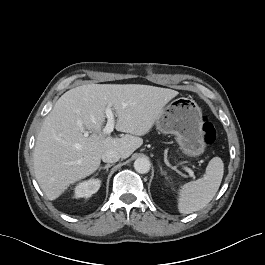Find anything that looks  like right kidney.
Wrapping results in <instances>:
<instances>
[{
    "mask_svg": "<svg viewBox=\"0 0 265 265\" xmlns=\"http://www.w3.org/2000/svg\"><path fill=\"white\" fill-rule=\"evenodd\" d=\"M100 185L101 181L99 179H89L87 181L79 183L75 187V198L90 197L92 194L96 193L99 190Z\"/></svg>",
    "mask_w": 265,
    "mask_h": 265,
    "instance_id": "right-kidney-1",
    "label": "right kidney"
}]
</instances>
